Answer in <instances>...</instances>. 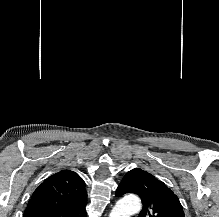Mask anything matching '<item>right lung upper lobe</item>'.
<instances>
[{"instance_id":"1","label":"right lung upper lobe","mask_w":219,"mask_h":217,"mask_svg":"<svg viewBox=\"0 0 219 217\" xmlns=\"http://www.w3.org/2000/svg\"><path fill=\"white\" fill-rule=\"evenodd\" d=\"M83 179L71 170L47 178L34 191L23 217H86Z\"/></svg>"}]
</instances>
